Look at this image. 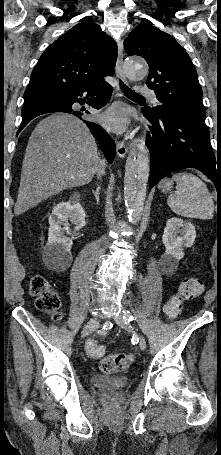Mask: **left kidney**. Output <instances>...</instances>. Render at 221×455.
<instances>
[{
  "mask_svg": "<svg viewBox=\"0 0 221 455\" xmlns=\"http://www.w3.org/2000/svg\"><path fill=\"white\" fill-rule=\"evenodd\" d=\"M196 238L195 227L180 218H170L162 236L166 248L162 261L173 267L184 257L183 248L191 247Z\"/></svg>",
  "mask_w": 221,
  "mask_h": 455,
  "instance_id": "obj_1",
  "label": "left kidney"
}]
</instances>
